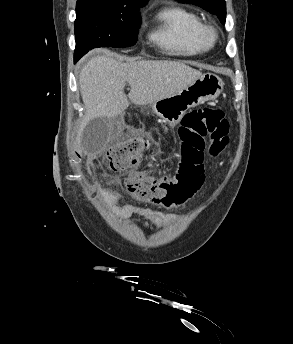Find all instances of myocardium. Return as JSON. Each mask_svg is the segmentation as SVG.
I'll use <instances>...</instances> for the list:
<instances>
[{
    "instance_id": "1",
    "label": "myocardium",
    "mask_w": 293,
    "mask_h": 344,
    "mask_svg": "<svg viewBox=\"0 0 293 344\" xmlns=\"http://www.w3.org/2000/svg\"><path fill=\"white\" fill-rule=\"evenodd\" d=\"M204 36L209 43H213L217 38V30L215 27L210 25L204 26Z\"/></svg>"
}]
</instances>
